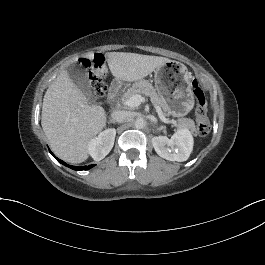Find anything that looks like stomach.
I'll use <instances>...</instances> for the list:
<instances>
[{
  "instance_id": "1",
  "label": "stomach",
  "mask_w": 265,
  "mask_h": 265,
  "mask_svg": "<svg viewBox=\"0 0 265 265\" xmlns=\"http://www.w3.org/2000/svg\"><path fill=\"white\" fill-rule=\"evenodd\" d=\"M156 91L164 97L169 114L175 117L187 115L194 107L191 73L177 61H169L154 72Z\"/></svg>"
}]
</instances>
